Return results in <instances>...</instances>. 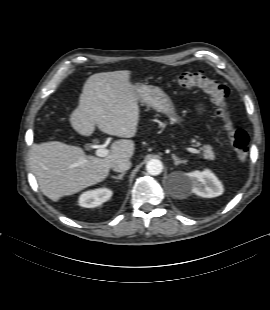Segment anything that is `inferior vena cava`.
Returning a JSON list of instances; mask_svg holds the SVG:
<instances>
[{"instance_id":"1","label":"inferior vena cava","mask_w":270,"mask_h":310,"mask_svg":"<svg viewBox=\"0 0 270 310\" xmlns=\"http://www.w3.org/2000/svg\"><path fill=\"white\" fill-rule=\"evenodd\" d=\"M111 168L116 172H125L131 168V161L129 159L116 160Z\"/></svg>"}]
</instances>
